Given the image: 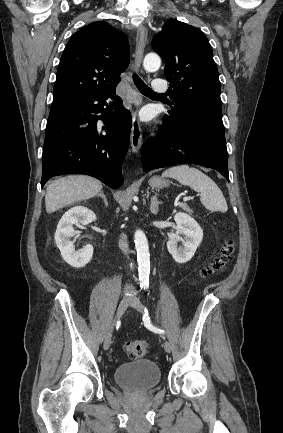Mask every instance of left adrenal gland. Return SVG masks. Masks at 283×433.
I'll list each match as a JSON object with an SVG mask.
<instances>
[{
  "mask_svg": "<svg viewBox=\"0 0 283 433\" xmlns=\"http://www.w3.org/2000/svg\"><path fill=\"white\" fill-rule=\"evenodd\" d=\"M158 204H161V200H157V192H155L154 196H151V204L150 210L154 212V214H158Z\"/></svg>",
  "mask_w": 283,
  "mask_h": 433,
  "instance_id": "left-adrenal-gland-1",
  "label": "left adrenal gland"
}]
</instances>
